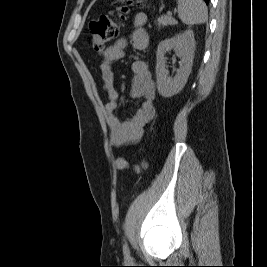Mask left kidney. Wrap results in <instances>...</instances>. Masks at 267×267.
Listing matches in <instances>:
<instances>
[{
  "label": "left kidney",
  "instance_id": "5707ae66",
  "mask_svg": "<svg viewBox=\"0 0 267 267\" xmlns=\"http://www.w3.org/2000/svg\"><path fill=\"white\" fill-rule=\"evenodd\" d=\"M171 50H174L181 60L180 67L176 70L177 73L173 78L168 76L165 58L166 52ZM194 51L195 39L192 30H187L159 43L156 52V78L157 89L161 96L169 98L183 89L191 73Z\"/></svg>",
  "mask_w": 267,
  "mask_h": 267
}]
</instances>
